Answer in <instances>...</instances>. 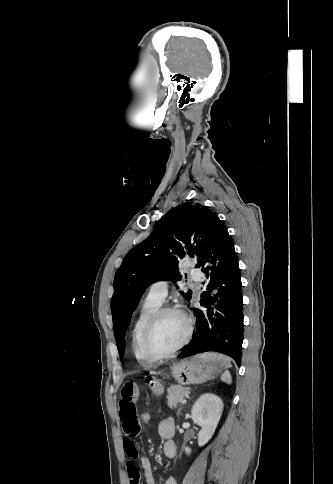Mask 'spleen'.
<instances>
[{
	"instance_id": "3e777b00",
	"label": "spleen",
	"mask_w": 333,
	"mask_h": 484,
	"mask_svg": "<svg viewBox=\"0 0 333 484\" xmlns=\"http://www.w3.org/2000/svg\"><path fill=\"white\" fill-rule=\"evenodd\" d=\"M221 380L227 384H231L232 382V377H231V374L226 371L225 373H223V375L221 376Z\"/></svg>"
}]
</instances>
